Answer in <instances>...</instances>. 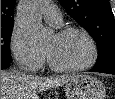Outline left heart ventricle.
<instances>
[{"label":"left heart ventricle","mask_w":115,"mask_h":99,"mask_svg":"<svg viewBox=\"0 0 115 99\" xmlns=\"http://www.w3.org/2000/svg\"><path fill=\"white\" fill-rule=\"evenodd\" d=\"M45 53L60 66H76L85 63L90 56L87 40L80 34L53 35L47 42Z\"/></svg>","instance_id":"1"}]
</instances>
